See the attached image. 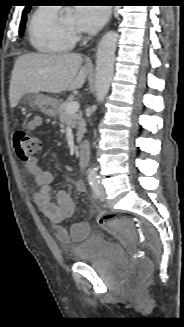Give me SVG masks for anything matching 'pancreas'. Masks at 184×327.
Segmentation results:
<instances>
[{
	"label": "pancreas",
	"mask_w": 184,
	"mask_h": 327,
	"mask_svg": "<svg viewBox=\"0 0 184 327\" xmlns=\"http://www.w3.org/2000/svg\"><path fill=\"white\" fill-rule=\"evenodd\" d=\"M69 101L62 102L59 106V120L62 124L70 125L73 128L77 127V142L79 143L85 132V121L82 118V113L68 114L66 106Z\"/></svg>",
	"instance_id": "obj_1"
}]
</instances>
